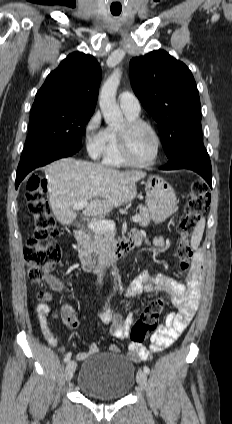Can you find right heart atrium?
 <instances>
[{
    "label": "right heart atrium",
    "mask_w": 232,
    "mask_h": 424,
    "mask_svg": "<svg viewBox=\"0 0 232 424\" xmlns=\"http://www.w3.org/2000/svg\"><path fill=\"white\" fill-rule=\"evenodd\" d=\"M83 138L86 150L93 159L104 155L107 145L106 130L101 127V115L94 112L86 121L83 128Z\"/></svg>",
    "instance_id": "obj_1"
}]
</instances>
